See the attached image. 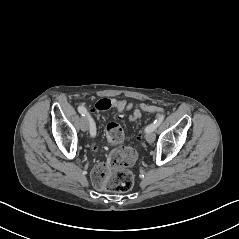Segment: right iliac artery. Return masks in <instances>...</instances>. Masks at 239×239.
<instances>
[{"label": "right iliac artery", "instance_id": "right-iliac-artery-1", "mask_svg": "<svg viewBox=\"0 0 239 239\" xmlns=\"http://www.w3.org/2000/svg\"><path fill=\"white\" fill-rule=\"evenodd\" d=\"M78 111L82 116H87L88 120L90 121V134H91L92 137H94L96 135V127H95L94 122L92 121V119L88 115L86 108L83 107V106H79Z\"/></svg>", "mask_w": 239, "mask_h": 239}]
</instances>
